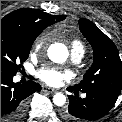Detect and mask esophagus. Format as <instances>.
<instances>
[{
  "mask_svg": "<svg viewBox=\"0 0 122 122\" xmlns=\"http://www.w3.org/2000/svg\"><path fill=\"white\" fill-rule=\"evenodd\" d=\"M42 90H43L44 92L51 93V94L57 92L55 89L50 88V87H47V86H44V87L42 88Z\"/></svg>",
  "mask_w": 122,
  "mask_h": 122,
  "instance_id": "34e87169",
  "label": "esophagus"
}]
</instances>
